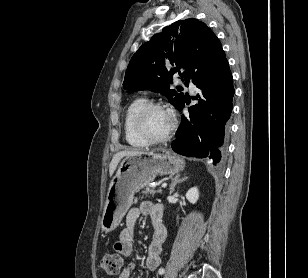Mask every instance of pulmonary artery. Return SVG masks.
<instances>
[{"instance_id":"pulmonary-artery-1","label":"pulmonary artery","mask_w":308,"mask_h":278,"mask_svg":"<svg viewBox=\"0 0 308 278\" xmlns=\"http://www.w3.org/2000/svg\"><path fill=\"white\" fill-rule=\"evenodd\" d=\"M188 87L191 93L196 91V86L192 82H189Z\"/></svg>"}]
</instances>
